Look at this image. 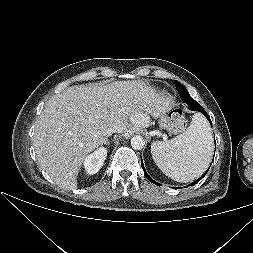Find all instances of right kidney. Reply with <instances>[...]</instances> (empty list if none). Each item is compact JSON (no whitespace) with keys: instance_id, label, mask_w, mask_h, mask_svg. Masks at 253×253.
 <instances>
[{"instance_id":"ca27d5eb","label":"right kidney","mask_w":253,"mask_h":253,"mask_svg":"<svg viewBox=\"0 0 253 253\" xmlns=\"http://www.w3.org/2000/svg\"><path fill=\"white\" fill-rule=\"evenodd\" d=\"M106 156V148H99L90 155H88L83 163L86 172L90 175L96 174L103 166Z\"/></svg>"}]
</instances>
